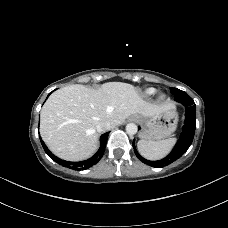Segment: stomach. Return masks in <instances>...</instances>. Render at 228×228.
<instances>
[{
	"instance_id": "obj_1",
	"label": "stomach",
	"mask_w": 228,
	"mask_h": 228,
	"mask_svg": "<svg viewBox=\"0 0 228 228\" xmlns=\"http://www.w3.org/2000/svg\"><path fill=\"white\" fill-rule=\"evenodd\" d=\"M134 117L143 125L140 138L148 141L161 140L171 136L178 123V116L173 106L153 117L147 118L141 115Z\"/></svg>"
}]
</instances>
